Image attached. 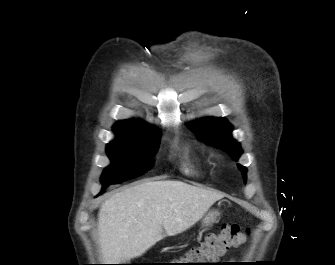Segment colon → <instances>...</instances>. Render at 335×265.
Listing matches in <instances>:
<instances>
[{"mask_svg": "<svg viewBox=\"0 0 335 265\" xmlns=\"http://www.w3.org/2000/svg\"><path fill=\"white\" fill-rule=\"evenodd\" d=\"M247 233L236 224L226 225L219 233L210 234L203 243L189 250L182 259L185 265H212L233 247L245 242Z\"/></svg>", "mask_w": 335, "mask_h": 265, "instance_id": "obj_1", "label": "colon"}]
</instances>
